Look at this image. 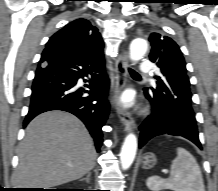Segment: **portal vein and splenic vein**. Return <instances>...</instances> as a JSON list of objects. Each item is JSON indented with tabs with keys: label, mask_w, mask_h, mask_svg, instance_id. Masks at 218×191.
Segmentation results:
<instances>
[{
	"label": "portal vein and splenic vein",
	"mask_w": 218,
	"mask_h": 191,
	"mask_svg": "<svg viewBox=\"0 0 218 191\" xmlns=\"http://www.w3.org/2000/svg\"><path fill=\"white\" fill-rule=\"evenodd\" d=\"M164 173H167L168 171L167 170H165V171H163Z\"/></svg>",
	"instance_id": "portal-vein-and-splenic-vein-1"
}]
</instances>
